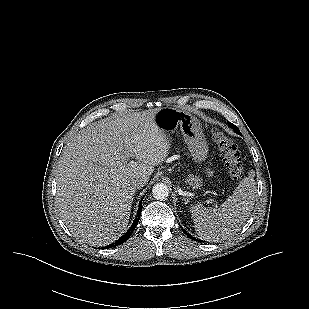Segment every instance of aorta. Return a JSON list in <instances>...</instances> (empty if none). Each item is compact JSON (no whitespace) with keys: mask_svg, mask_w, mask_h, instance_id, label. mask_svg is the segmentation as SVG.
I'll list each match as a JSON object with an SVG mask.
<instances>
[{"mask_svg":"<svg viewBox=\"0 0 309 309\" xmlns=\"http://www.w3.org/2000/svg\"><path fill=\"white\" fill-rule=\"evenodd\" d=\"M152 194L157 200H165L169 196V189L167 185L158 183L153 186Z\"/></svg>","mask_w":309,"mask_h":309,"instance_id":"obj_1","label":"aorta"}]
</instances>
